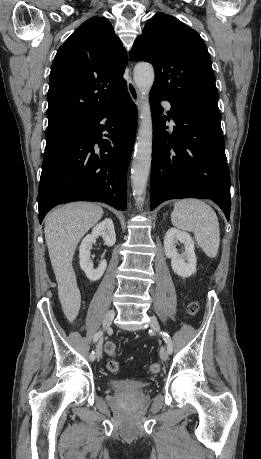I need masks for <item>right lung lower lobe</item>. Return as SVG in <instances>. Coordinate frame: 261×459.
Wrapping results in <instances>:
<instances>
[{
	"label": "right lung lower lobe",
	"mask_w": 261,
	"mask_h": 459,
	"mask_svg": "<svg viewBox=\"0 0 261 459\" xmlns=\"http://www.w3.org/2000/svg\"><path fill=\"white\" fill-rule=\"evenodd\" d=\"M103 119L106 125L100 124ZM136 128L137 108L126 91L72 136L45 151L39 222L54 206L72 201L103 202L125 210L126 174ZM104 130L110 134H104L107 139H102Z\"/></svg>",
	"instance_id": "obj_1"
}]
</instances>
